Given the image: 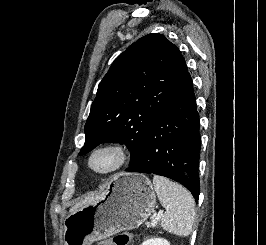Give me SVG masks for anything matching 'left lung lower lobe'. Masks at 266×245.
<instances>
[{"label":"left lung lower lobe","instance_id":"obj_1","mask_svg":"<svg viewBox=\"0 0 266 245\" xmlns=\"http://www.w3.org/2000/svg\"><path fill=\"white\" fill-rule=\"evenodd\" d=\"M199 127L192 79L186 71L147 130L140 157L126 171L173 179L185 186L198 202Z\"/></svg>","mask_w":266,"mask_h":245}]
</instances>
